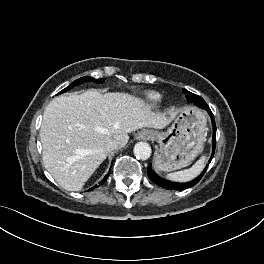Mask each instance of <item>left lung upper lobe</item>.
<instances>
[{
  "instance_id": "obj_1",
  "label": "left lung upper lobe",
  "mask_w": 264,
  "mask_h": 264,
  "mask_svg": "<svg viewBox=\"0 0 264 264\" xmlns=\"http://www.w3.org/2000/svg\"><path fill=\"white\" fill-rule=\"evenodd\" d=\"M184 93L186 94V98L189 102L198 103L202 102L203 104H206V102L198 95H195L185 89H183ZM200 100V101H199Z\"/></svg>"
}]
</instances>
